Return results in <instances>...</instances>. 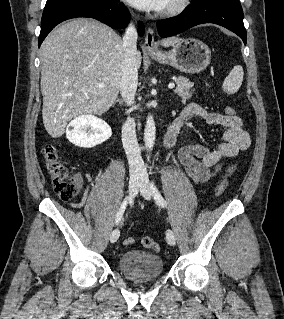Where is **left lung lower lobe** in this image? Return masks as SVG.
I'll return each instance as SVG.
<instances>
[{
	"label": "left lung lower lobe",
	"instance_id": "left-lung-lower-lobe-1",
	"mask_svg": "<svg viewBox=\"0 0 284 319\" xmlns=\"http://www.w3.org/2000/svg\"><path fill=\"white\" fill-rule=\"evenodd\" d=\"M203 23L221 25L236 33L246 44L247 34L239 0H192L180 15L158 21L157 28L161 37L165 38Z\"/></svg>",
	"mask_w": 284,
	"mask_h": 319
}]
</instances>
